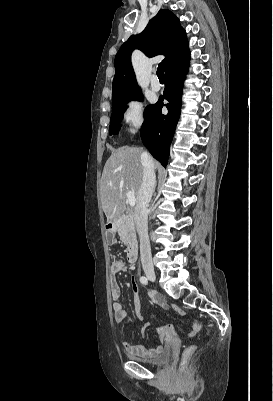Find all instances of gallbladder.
Wrapping results in <instances>:
<instances>
[{"instance_id": "bac80fb5", "label": "gallbladder", "mask_w": 273, "mask_h": 401, "mask_svg": "<svg viewBox=\"0 0 273 401\" xmlns=\"http://www.w3.org/2000/svg\"><path fill=\"white\" fill-rule=\"evenodd\" d=\"M107 245L108 246H113L114 245V232L113 231H108L107 232Z\"/></svg>"}]
</instances>
